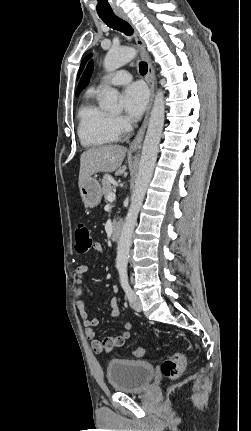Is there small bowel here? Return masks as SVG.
<instances>
[{"mask_svg":"<svg viewBox=\"0 0 251 431\" xmlns=\"http://www.w3.org/2000/svg\"><path fill=\"white\" fill-rule=\"evenodd\" d=\"M97 252L102 253V246L97 243L94 248ZM89 271L87 265H80L76 269L77 279V290H76V307L79 311L80 318L85 326V334L89 340H91V347L96 353L110 352L115 348H119L131 337L132 324L129 321H125L122 325V332L118 335L107 336L102 340L96 338L95 328L98 325V320L91 317L86 310V303L84 299V281ZM113 292H118V287L113 286ZM120 314V308L117 297H113L110 300V316L117 317Z\"/></svg>","mask_w":251,"mask_h":431,"instance_id":"obj_1","label":"small bowel"}]
</instances>
